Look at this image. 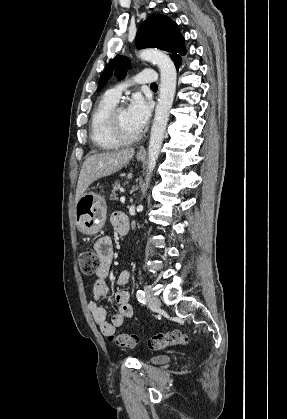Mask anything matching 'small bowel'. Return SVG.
Masks as SVG:
<instances>
[{
  "instance_id": "c3829d8e",
  "label": "small bowel",
  "mask_w": 287,
  "mask_h": 419,
  "mask_svg": "<svg viewBox=\"0 0 287 419\" xmlns=\"http://www.w3.org/2000/svg\"><path fill=\"white\" fill-rule=\"evenodd\" d=\"M111 222L117 231L123 225H129L128 218L120 212L112 216ZM94 250L99 255L101 262L97 271V279L93 285L94 300L89 303L88 307L102 334L108 336L115 334L116 329L123 325L125 319L133 315V307L130 304L129 293L124 290L118 291L114 295L118 309L111 315V320H107L106 310L97 301L107 297L109 294L105 278L109 273L113 257V246L110 237L104 236L99 238L94 244ZM130 277V272L122 271L118 276L117 283L125 285L130 281Z\"/></svg>"
}]
</instances>
